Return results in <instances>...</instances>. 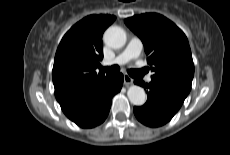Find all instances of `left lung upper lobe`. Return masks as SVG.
Here are the masks:
<instances>
[{
    "instance_id": "5c2ea615",
    "label": "left lung upper lobe",
    "mask_w": 230,
    "mask_h": 155,
    "mask_svg": "<svg viewBox=\"0 0 230 155\" xmlns=\"http://www.w3.org/2000/svg\"><path fill=\"white\" fill-rule=\"evenodd\" d=\"M125 24L142 40L152 81L187 97L194 76L191 49L185 34L172 21L157 13L125 19Z\"/></svg>"
}]
</instances>
